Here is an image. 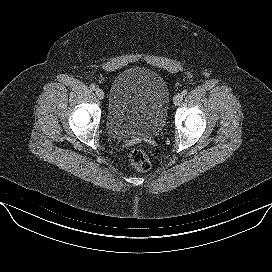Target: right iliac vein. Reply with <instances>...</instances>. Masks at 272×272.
Listing matches in <instances>:
<instances>
[{
    "mask_svg": "<svg viewBox=\"0 0 272 272\" xmlns=\"http://www.w3.org/2000/svg\"><path fill=\"white\" fill-rule=\"evenodd\" d=\"M95 93H96V95H97V97L99 99H103L104 98V91L102 89L96 88Z\"/></svg>",
    "mask_w": 272,
    "mask_h": 272,
    "instance_id": "obj_1",
    "label": "right iliac vein"
}]
</instances>
